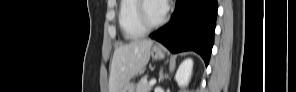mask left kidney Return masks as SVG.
Returning a JSON list of instances; mask_svg holds the SVG:
<instances>
[{
	"mask_svg": "<svg viewBox=\"0 0 296 92\" xmlns=\"http://www.w3.org/2000/svg\"><path fill=\"white\" fill-rule=\"evenodd\" d=\"M193 70V60L191 58L185 59L177 69L175 80L179 87H185L189 84Z\"/></svg>",
	"mask_w": 296,
	"mask_h": 92,
	"instance_id": "obj_1",
	"label": "left kidney"
}]
</instances>
